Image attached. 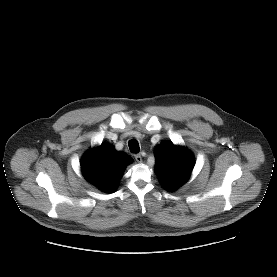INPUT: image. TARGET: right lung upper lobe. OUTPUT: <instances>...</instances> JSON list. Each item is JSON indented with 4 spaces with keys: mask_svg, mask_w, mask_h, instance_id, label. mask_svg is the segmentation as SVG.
<instances>
[{
    "mask_svg": "<svg viewBox=\"0 0 277 277\" xmlns=\"http://www.w3.org/2000/svg\"><path fill=\"white\" fill-rule=\"evenodd\" d=\"M131 158L117 152L110 144L89 150L81 159V169L84 177L101 191L112 193L123 176L125 167L131 163Z\"/></svg>",
    "mask_w": 277,
    "mask_h": 277,
    "instance_id": "right-lung-upper-lobe-1",
    "label": "right lung upper lobe"
}]
</instances>
